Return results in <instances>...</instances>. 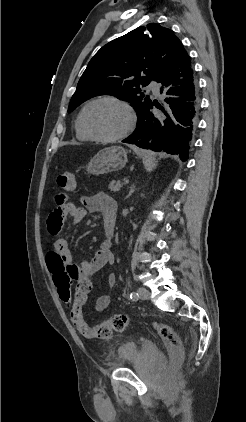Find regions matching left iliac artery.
<instances>
[{
    "label": "left iliac artery",
    "mask_w": 246,
    "mask_h": 422,
    "mask_svg": "<svg viewBox=\"0 0 246 422\" xmlns=\"http://www.w3.org/2000/svg\"><path fill=\"white\" fill-rule=\"evenodd\" d=\"M130 299H132L133 301L138 300V294L136 292L130 293Z\"/></svg>",
    "instance_id": "44dca946"
}]
</instances>
